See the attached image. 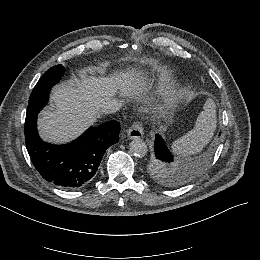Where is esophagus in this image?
Wrapping results in <instances>:
<instances>
[{
	"instance_id": "1",
	"label": "esophagus",
	"mask_w": 260,
	"mask_h": 260,
	"mask_svg": "<svg viewBox=\"0 0 260 260\" xmlns=\"http://www.w3.org/2000/svg\"><path fill=\"white\" fill-rule=\"evenodd\" d=\"M144 134L143 127L140 123H133V125L128 129L127 135L129 139L141 138Z\"/></svg>"
}]
</instances>
